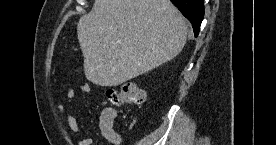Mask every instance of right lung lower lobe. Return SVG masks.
Here are the masks:
<instances>
[{
  "label": "right lung lower lobe",
  "instance_id": "right-lung-lower-lobe-1",
  "mask_svg": "<svg viewBox=\"0 0 276 145\" xmlns=\"http://www.w3.org/2000/svg\"><path fill=\"white\" fill-rule=\"evenodd\" d=\"M171 2L191 22L197 37L204 17V0H171Z\"/></svg>",
  "mask_w": 276,
  "mask_h": 145
}]
</instances>
